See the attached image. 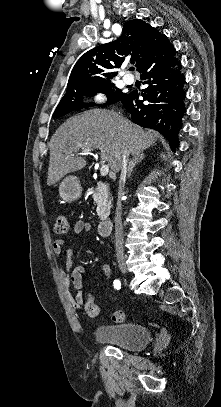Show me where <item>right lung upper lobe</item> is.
<instances>
[{"label":"right lung upper lobe","mask_w":221,"mask_h":407,"mask_svg":"<svg viewBox=\"0 0 221 407\" xmlns=\"http://www.w3.org/2000/svg\"><path fill=\"white\" fill-rule=\"evenodd\" d=\"M168 44L165 35L142 20L127 21L119 39L97 46L80 57L72 69L66 92L111 82L117 75L113 69L128 58L140 72L160 56Z\"/></svg>","instance_id":"cb5924a9"}]
</instances>
